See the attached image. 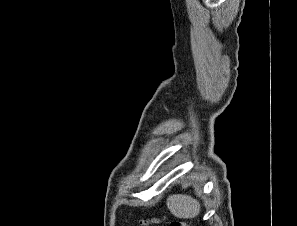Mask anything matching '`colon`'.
<instances>
[{
	"instance_id": "1",
	"label": "colon",
	"mask_w": 297,
	"mask_h": 226,
	"mask_svg": "<svg viewBox=\"0 0 297 226\" xmlns=\"http://www.w3.org/2000/svg\"><path fill=\"white\" fill-rule=\"evenodd\" d=\"M157 219L154 218H148V219H144L141 221V225L142 226H148L151 223H156ZM171 226H190L188 223L186 222H182V221H175L172 222Z\"/></svg>"
}]
</instances>
